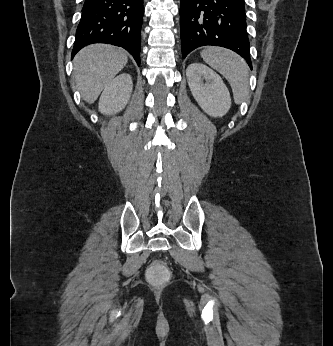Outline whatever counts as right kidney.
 I'll return each instance as SVG.
<instances>
[{
	"label": "right kidney",
	"instance_id": "right-kidney-1",
	"mask_svg": "<svg viewBox=\"0 0 333 346\" xmlns=\"http://www.w3.org/2000/svg\"><path fill=\"white\" fill-rule=\"evenodd\" d=\"M132 89L131 76L120 74L105 87L99 99V111L106 115L118 113L128 103Z\"/></svg>",
	"mask_w": 333,
	"mask_h": 346
}]
</instances>
